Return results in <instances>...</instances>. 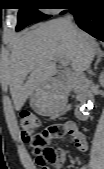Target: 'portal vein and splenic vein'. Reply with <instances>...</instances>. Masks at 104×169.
Here are the masks:
<instances>
[{
  "label": "portal vein and splenic vein",
  "instance_id": "portal-vein-and-splenic-vein-1",
  "mask_svg": "<svg viewBox=\"0 0 104 169\" xmlns=\"http://www.w3.org/2000/svg\"><path fill=\"white\" fill-rule=\"evenodd\" d=\"M56 60H58L63 66H67L69 64V62L63 57H58Z\"/></svg>",
  "mask_w": 104,
  "mask_h": 169
}]
</instances>
